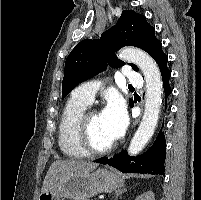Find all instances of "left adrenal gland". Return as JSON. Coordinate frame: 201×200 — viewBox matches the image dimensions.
Returning a JSON list of instances; mask_svg holds the SVG:
<instances>
[{"label":"left adrenal gland","instance_id":"a2214340","mask_svg":"<svg viewBox=\"0 0 201 200\" xmlns=\"http://www.w3.org/2000/svg\"><path fill=\"white\" fill-rule=\"evenodd\" d=\"M125 191H127V188L126 187H123L121 189H118L115 191V196H114V200H118V197L124 193Z\"/></svg>","mask_w":201,"mask_h":200}]
</instances>
